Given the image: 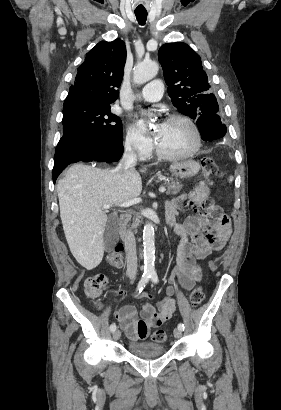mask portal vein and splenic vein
I'll return each mask as SVG.
<instances>
[{
	"label": "portal vein and splenic vein",
	"instance_id": "portal-vein-and-splenic-vein-1",
	"mask_svg": "<svg viewBox=\"0 0 281 410\" xmlns=\"http://www.w3.org/2000/svg\"><path fill=\"white\" fill-rule=\"evenodd\" d=\"M165 191H166V188H165L164 186H162V187L159 188V192H160V193H164ZM141 201H142L141 198H135V199L129 200V201H127V202H124V203L120 204L119 206H120V207H129V206L138 204V203H140ZM110 207H111V205H104V206L102 207V209L107 210V209H109Z\"/></svg>",
	"mask_w": 281,
	"mask_h": 410
}]
</instances>
